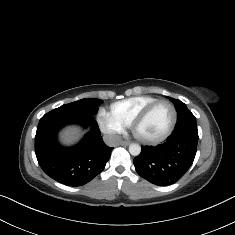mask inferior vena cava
I'll use <instances>...</instances> for the list:
<instances>
[{"mask_svg": "<svg viewBox=\"0 0 235 235\" xmlns=\"http://www.w3.org/2000/svg\"><path fill=\"white\" fill-rule=\"evenodd\" d=\"M103 140L106 145H108L110 147H116L119 145V143L121 141V136H119L117 134H106L103 136Z\"/></svg>", "mask_w": 235, "mask_h": 235, "instance_id": "inferior-vena-cava-1", "label": "inferior vena cava"}]
</instances>
